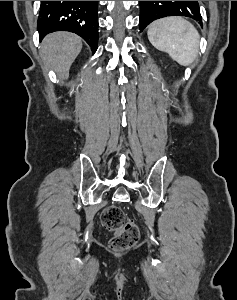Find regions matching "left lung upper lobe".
<instances>
[{"label":"left lung upper lobe","instance_id":"obj_1","mask_svg":"<svg viewBox=\"0 0 237 300\" xmlns=\"http://www.w3.org/2000/svg\"><path fill=\"white\" fill-rule=\"evenodd\" d=\"M175 15L190 17L202 24L197 1H140V31L158 18Z\"/></svg>","mask_w":237,"mask_h":300}]
</instances>
